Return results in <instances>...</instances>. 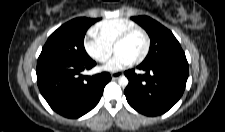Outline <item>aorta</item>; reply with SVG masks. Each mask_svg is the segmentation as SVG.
Instances as JSON below:
<instances>
[{
  "mask_svg": "<svg viewBox=\"0 0 225 132\" xmlns=\"http://www.w3.org/2000/svg\"><path fill=\"white\" fill-rule=\"evenodd\" d=\"M128 82L129 81H128L127 77H125V76H120L118 78V83L121 87H126L128 85Z\"/></svg>",
  "mask_w": 225,
  "mask_h": 132,
  "instance_id": "obj_1",
  "label": "aorta"
}]
</instances>
